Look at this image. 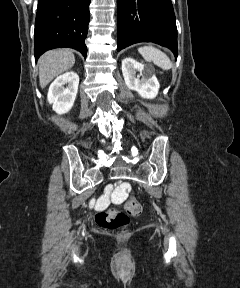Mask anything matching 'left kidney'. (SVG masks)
<instances>
[{
	"label": "left kidney",
	"instance_id": "1",
	"mask_svg": "<svg viewBox=\"0 0 240 288\" xmlns=\"http://www.w3.org/2000/svg\"><path fill=\"white\" fill-rule=\"evenodd\" d=\"M122 73L127 87L137 91L142 98L153 99L157 96L159 82L152 68L128 57L122 61Z\"/></svg>",
	"mask_w": 240,
	"mask_h": 288
}]
</instances>
